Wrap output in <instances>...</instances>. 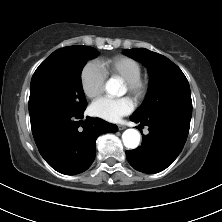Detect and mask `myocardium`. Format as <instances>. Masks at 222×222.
<instances>
[{
  "label": "myocardium",
  "instance_id": "1",
  "mask_svg": "<svg viewBox=\"0 0 222 222\" xmlns=\"http://www.w3.org/2000/svg\"><path fill=\"white\" fill-rule=\"evenodd\" d=\"M127 92L132 96L135 102H142L147 96L149 84L143 77H138L131 81H124Z\"/></svg>",
  "mask_w": 222,
  "mask_h": 222
}]
</instances>
